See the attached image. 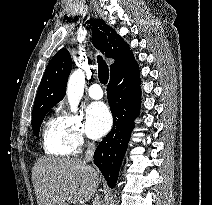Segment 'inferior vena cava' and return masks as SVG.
Returning <instances> with one entry per match:
<instances>
[{
    "instance_id": "602c4592",
    "label": "inferior vena cava",
    "mask_w": 212,
    "mask_h": 205,
    "mask_svg": "<svg viewBox=\"0 0 212 205\" xmlns=\"http://www.w3.org/2000/svg\"><path fill=\"white\" fill-rule=\"evenodd\" d=\"M94 151H95V143L88 141L87 142V151L85 153V158H84L85 162H89V161L93 160ZM93 205H102L101 198L98 194L96 195V197L94 199Z\"/></svg>"
}]
</instances>
